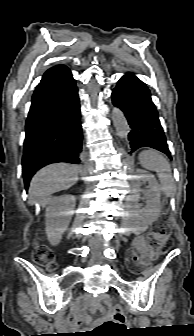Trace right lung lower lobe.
Masks as SVG:
<instances>
[{
    "instance_id": "98d812e1",
    "label": "right lung lower lobe",
    "mask_w": 194,
    "mask_h": 336,
    "mask_svg": "<svg viewBox=\"0 0 194 336\" xmlns=\"http://www.w3.org/2000/svg\"><path fill=\"white\" fill-rule=\"evenodd\" d=\"M25 131L22 174L26 188L45 165L80 163L83 137L78 90L66 66H54L43 75L32 97Z\"/></svg>"
}]
</instances>
